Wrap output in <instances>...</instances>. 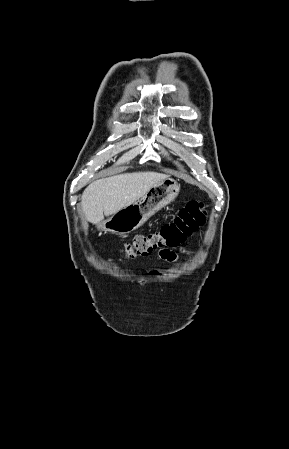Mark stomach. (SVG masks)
<instances>
[{"label":"stomach","mask_w":289,"mask_h":449,"mask_svg":"<svg viewBox=\"0 0 289 449\" xmlns=\"http://www.w3.org/2000/svg\"><path fill=\"white\" fill-rule=\"evenodd\" d=\"M180 185L166 178L153 187L139 200L122 208L98 227L105 232L126 234L142 226L151 216L171 203L178 196Z\"/></svg>","instance_id":"obj_1"}]
</instances>
